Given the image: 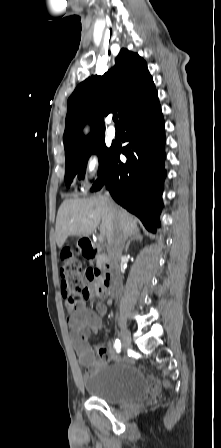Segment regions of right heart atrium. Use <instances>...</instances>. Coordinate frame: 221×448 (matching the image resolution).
<instances>
[{"label": "right heart atrium", "instance_id": "obj_1", "mask_svg": "<svg viewBox=\"0 0 221 448\" xmlns=\"http://www.w3.org/2000/svg\"><path fill=\"white\" fill-rule=\"evenodd\" d=\"M102 173L101 158L97 154H90L84 163L83 168V185L87 187L90 183L97 179Z\"/></svg>", "mask_w": 221, "mask_h": 448}]
</instances>
